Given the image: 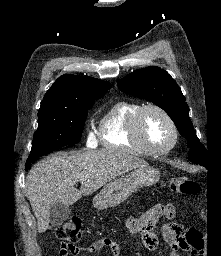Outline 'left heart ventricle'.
Masks as SVG:
<instances>
[{"mask_svg":"<svg viewBox=\"0 0 221 256\" xmlns=\"http://www.w3.org/2000/svg\"><path fill=\"white\" fill-rule=\"evenodd\" d=\"M142 135L156 149L164 148L172 141V130L168 121L155 110H148L143 115Z\"/></svg>","mask_w":221,"mask_h":256,"instance_id":"1","label":"left heart ventricle"}]
</instances>
